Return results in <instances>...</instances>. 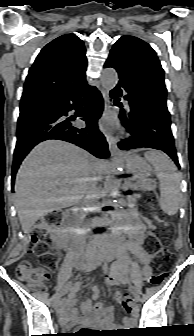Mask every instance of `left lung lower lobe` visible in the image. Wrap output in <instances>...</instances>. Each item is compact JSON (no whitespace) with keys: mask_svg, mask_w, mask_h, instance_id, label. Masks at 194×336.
<instances>
[{"mask_svg":"<svg viewBox=\"0 0 194 336\" xmlns=\"http://www.w3.org/2000/svg\"><path fill=\"white\" fill-rule=\"evenodd\" d=\"M115 68L113 61L107 60L104 68ZM117 86L110 92L115 103L125 92L129 108L121 109L119 119L130 133V137L118 143L121 150L152 148L164 151L179 167L171 119L167 106L148 101L130 81L119 74Z\"/></svg>","mask_w":194,"mask_h":336,"instance_id":"obj_1","label":"left lung lower lobe"}]
</instances>
